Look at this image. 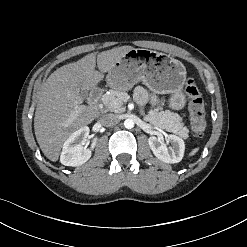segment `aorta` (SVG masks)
Segmentation results:
<instances>
[{
	"mask_svg": "<svg viewBox=\"0 0 247 247\" xmlns=\"http://www.w3.org/2000/svg\"><path fill=\"white\" fill-rule=\"evenodd\" d=\"M124 126L126 129H132L134 127V121L132 119H126L124 121Z\"/></svg>",
	"mask_w": 247,
	"mask_h": 247,
	"instance_id": "762f6f07",
	"label": "aorta"
}]
</instances>
